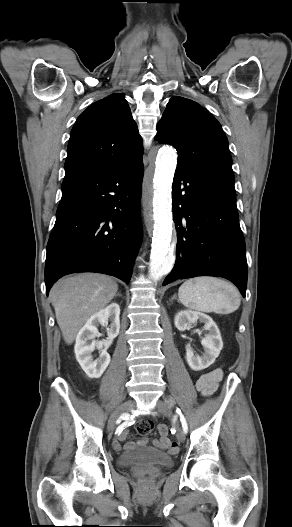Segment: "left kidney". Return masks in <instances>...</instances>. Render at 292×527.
<instances>
[{"label": "left kidney", "mask_w": 292, "mask_h": 527, "mask_svg": "<svg viewBox=\"0 0 292 527\" xmlns=\"http://www.w3.org/2000/svg\"><path fill=\"white\" fill-rule=\"evenodd\" d=\"M204 323L203 329L208 331L205 338L201 341L204 347L202 356H195L190 345L186 346V361L189 367L194 371H200L214 363L223 348L218 326L208 315L191 310L180 311L175 315L174 324L179 331H185L190 323Z\"/></svg>", "instance_id": "5707ae66"}]
</instances>
